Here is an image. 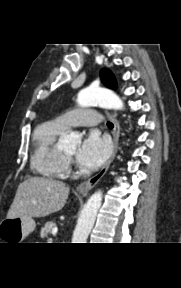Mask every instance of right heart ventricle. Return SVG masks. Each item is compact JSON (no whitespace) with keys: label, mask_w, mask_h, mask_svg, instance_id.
I'll return each instance as SVG.
<instances>
[{"label":"right heart ventricle","mask_w":181,"mask_h":288,"mask_svg":"<svg viewBox=\"0 0 181 288\" xmlns=\"http://www.w3.org/2000/svg\"><path fill=\"white\" fill-rule=\"evenodd\" d=\"M58 121L41 124L33 136L32 168L39 174L58 178L68 170V158L58 146V138L66 131Z\"/></svg>","instance_id":"e07e8e85"}]
</instances>
